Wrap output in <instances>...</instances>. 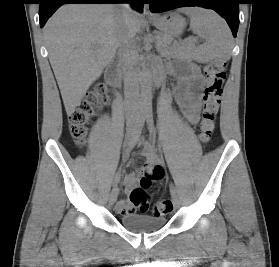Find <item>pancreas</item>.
Wrapping results in <instances>:
<instances>
[{
  "mask_svg": "<svg viewBox=\"0 0 279 267\" xmlns=\"http://www.w3.org/2000/svg\"><path fill=\"white\" fill-rule=\"evenodd\" d=\"M159 49L161 54L166 58H190L192 50L195 48L193 44L187 43L181 46L162 44Z\"/></svg>",
  "mask_w": 279,
  "mask_h": 267,
  "instance_id": "1",
  "label": "pancreas"
}]
</instances>
